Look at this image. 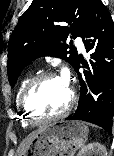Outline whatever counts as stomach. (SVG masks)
<instances>
[{"mask_svg": "<svg viewBox=\"0 0 114 156\" xmlns=\"http://www.w3.org/2000/svg\"><path fill=\"white\" fill-rule=\"evenodd\" d=\"M88 128L80 121H62L43 127L22 156H73L87 140Z\"/></svg>", "mask_w": 114, "mask_h": 156, "instance_id": "stomach-1", "label": "stomach"}]
</instances>
